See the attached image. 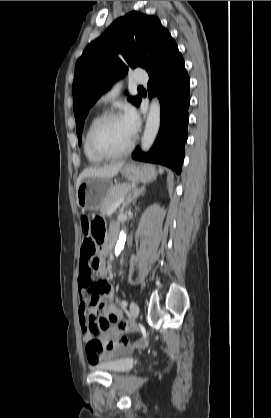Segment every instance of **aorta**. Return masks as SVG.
<instances>
[{"label":"aorta","mask_w":271,"mask_h":418,"mask_svg":"<svg viewBox=\"0 0 271 418\" xmlns=\"http://www.w3.org/2000/svg\"><path fill=\"white\" fill-rule=\"evenodd\" d=\"M161 121V106L157 98H153L149 107L148 116L146 119L145 130L141 139V149L147 152L154 143L159 131ZM126 240V232H120L119 240L115 248V254L118 256L123 250Z\"/></svg>","instance_id":"762f6f07"}]
</instances>
